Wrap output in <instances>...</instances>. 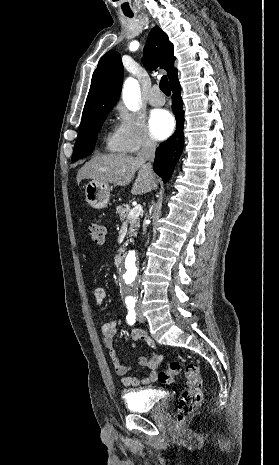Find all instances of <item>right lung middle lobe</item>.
Instances as JSON below:
<instances>
[{
    "label": "right lung middle lobe",
    "instance_id": "1",
    "mask_svg": "<svg viewBox=\"0 0 279 465\" xmlns=\"http://www.w3.org/2000/svg\"><path fill=\"white\" fill-rule=\"evenodd\" d=\"M110 111L111 109L102 111L89 123L79 127L78 137L73 150L72 161L84 158L92 152L97 139V133Z\"/></svg>",
    "mask_w": 279,
    "mask_h": 465
}]
</instances>
